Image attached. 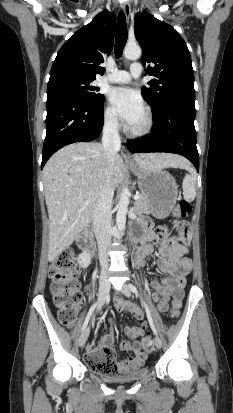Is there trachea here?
<instances>
[{
  "label": "trachea",
  "mask_w": 233,
  "mask_h": 413,
  "mask_svg": "<svg viewBox=\"0 0 233 413\" xmlns=\"http://www.w3.org/2000/svg\"><path fill=\"white\" fill-rule=\"evenodd\" d=\"M127 41V26L125 15L123 12L118 14L116 40H115V56L117 58L122 56L124 46Z\"/></svg>",
  "instance_id": "obj_1"
}]
</instances>
